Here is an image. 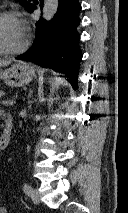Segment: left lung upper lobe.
Returning <instances> with one entry per match:
<instances>
[{
    "label": "left lung upper lobe",
    "instance_id": "left-lung-upper-lobe-1",
    "mask_svg": "<svg viewBox=\"0 0 128 213\" xmlns=\"http://www.w3.org/2000/svg\"><path fill=\"white\" fill-rule=\"evenodd\" d=\"M19 1H20V4H22V6L26 7L27 9H29L30 6L32 5L30 2H27L26 0H19Z\"/></svg>",
    "mask_w": 128,
    "mask_h": 213
}]
</instances>
